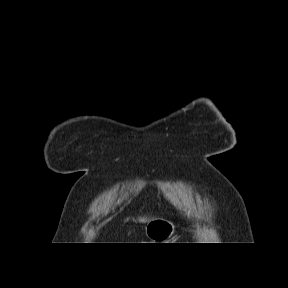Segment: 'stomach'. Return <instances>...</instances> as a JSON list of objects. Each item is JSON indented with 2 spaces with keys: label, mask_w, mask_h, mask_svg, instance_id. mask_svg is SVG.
Instances as JSON below:
<instances>
[{
  "label": "stomach",
  "mask_w": 288,
  "mask_h": 288,
  "mask_svg": "<svg viewBox=\"0 0 288 288\" xmlns=\"http://www.w3.org/2000/svg\"><path fill=\"white\" fill-rule=\"evenodd\" d=\"M146 236L152 243H165L174 233V225L164 219H153L145 227Z\"/></svg>",
  "instance_id": "1"
}]
</instances>
